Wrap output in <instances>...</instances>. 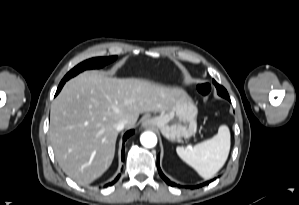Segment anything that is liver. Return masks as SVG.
Here are the masks:
<instances>
[{
  "label": "liver",
  "instance_id": "6515ba94",
  "mask_svg": "<svg viewBox=\"0 0 299 205\" xmlns=\"http://www.w3.org/2000/svg\"><path fill=\"white\" fill-rule=\"evenodd\" d=\"M184 91L137 78H112L96 70L70 79L51 105L50 141L64 172L80 185L111 165L118 132L139 114L169 110Z\"/></svg>",
  "mask_w": 299,
  "mask_h": 205
}]
</instances>
